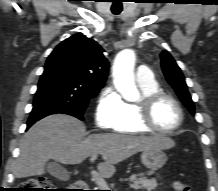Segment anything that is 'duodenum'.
<instances>
[{
	"label": "duodenum",
	"instance_id": "duodenum-1",
	"mask_svg": "<svg viewBox=\"0 0 218 191\" xmlns=\"http://www.w3.org/2000/svg\"><path fill=\"white\" fill-rule=\"evenodd\" d=\"M88 186L89 185L86 180H77L72 191H87Z\"/></svg>",
	"mask_w": 218,
	"mask_h": 191
}]
</instances>
